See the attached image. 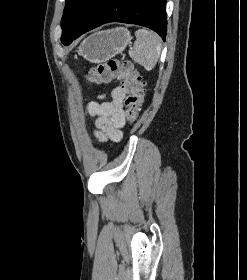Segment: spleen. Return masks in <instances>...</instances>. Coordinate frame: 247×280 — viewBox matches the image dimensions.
<instances>
[{
	"instance_id": "spleen-1",
	"label": "spleen",
	"mask_w": 247,
	"mask_h": 280,
	"mask_svg": "<svg viewBox=\"0 0 247 280\" xmlns=\"http://www.w3.org/2000/svg\"><path fill=\"white\" fill-rule=\"evenodd\" d=\"M136 41L130 50L129 56L147 71H151L161 53V38L154 32L139 29L135 32Z\"/></svg>"
}]
</instances>
